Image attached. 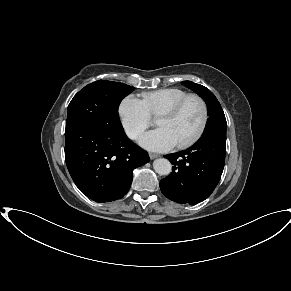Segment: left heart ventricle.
Instances as JSON below:
<instances>
[{"label": "left heart ventricle", "instance_id": "1", "mask_svg": "<svg viewBox=\"0 0 291 291\" xmlns=\"http://www.w3.org/2000/svg\"><path fill=\"white\" fill-rule=\"evenodd\" d=\"M203 108L197 99H190L174 118L157 119L156 125L165 129L176 144L191 138L199 129Z\"/></svg>", "mask_w": 291, "mask_h": 291}]
</instances>
